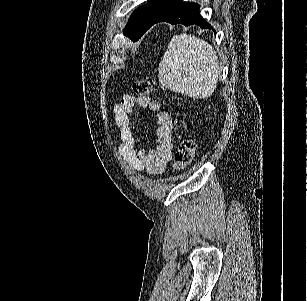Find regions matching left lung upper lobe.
<instances>
[{"label": "left lung upper lobe", "instance_id": "obj_1", "mask_svg": "<svg viewBox=\"0 0 307 301\" xmlns=\"http://www.w3.org/2000/svg\"><path fill=\"white\" fill-rule=\"evenodd\" d=\"M179 0H151L133 12L124 29V35L137 41L164 12Z\"/></svg>", "mask_w": 307, "mask_h": 301}]
</instances>
